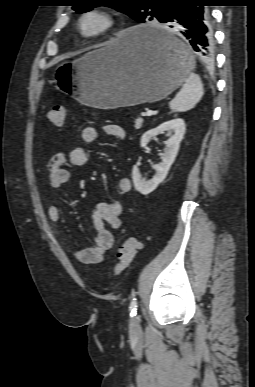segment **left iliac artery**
<instances>
[{
    "instance_id": "left-iliac-artery-1",
    "label": "left iliac artery",
    "mask_w": 255,
    "mask_h": 387,
    "mask_svg": "<svg viewBox=\"0 0 255 387\" xmlns=\"http://www.w3.org/2000/svg\"><path fill=\"white\" fill-rule=\"evenodd\" d=\"M130 316L133 317L137 312V299L135 297L132 298L129 306Z\"/></svg>"
}]
</instances>
